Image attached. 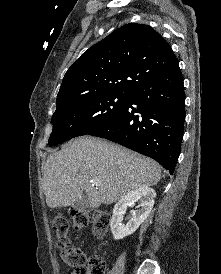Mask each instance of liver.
<instances>
[{"label": "liver", "instance_id": "6515ba94", "mask_svg": "<svg viewBox=\"0 0 221 274\" xmlns=\"http://www.w3.org/2000/svg\"><path fill=\"white\" fill-rule=\"evenodd\" d=\"M160 178L161 168L152 159L117 144L84 136L48 156L42 187L50 208L71 206L84 191L88 206L98 208L138 188L154 186Z\"/></svg>", "mask_w": 221, "mask_h": 274}]
</instances>
